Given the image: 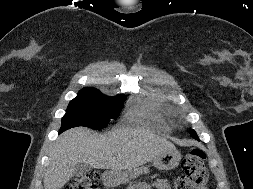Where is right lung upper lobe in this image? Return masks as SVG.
I'll return each mask as SVG.
<instances>
[{
  "mask_svg": "<svg viewBox=\"0 0 253 189\" xmlns=\"http://www.w3.org/2000/svg\"><path fill=\"white\" fill-rule=\"evenodd\" d=\"M96 92H99V91L93 88H84L79 93H96Z\"/></svg>",
  "mask_w": 253,
  "mask_h": 189,
  "instance_id": "cb5924a9",
  "label": "right lung upper lobe"
}]
</instances>
